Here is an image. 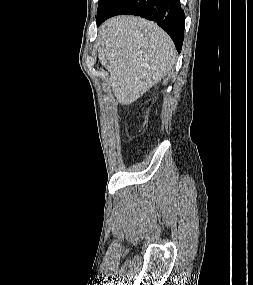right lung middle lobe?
<instances>
[{
	"instance_id": "obj_1",
	"label": "right lung middle lobe",
	"mask_w": 253,
	"mask_h": 285,
	"mask_svg": "<svg viewBox=\"0 0 253 285\" xmlns=\"http://www.w3.org/2000/svg\"><path fill=\"white\" fill-rule=\"evenodd\" d=\"M112 1L113 0H99L97 16L103 14Z\"/></svg>"
}]
</instances>
